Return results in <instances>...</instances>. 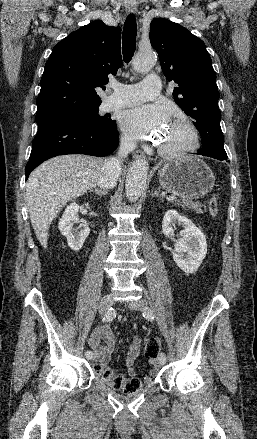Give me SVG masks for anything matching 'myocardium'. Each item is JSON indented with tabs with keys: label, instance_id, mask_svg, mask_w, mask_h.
Segmentation results:
<instances>
[{
	"label": "myocardium",
	"instance_id": "myocardium-1",
	"mask_svg": "<svg viewBox=\"0 0 257 439\" xmlns=\"http://www.w3.org/2000/svg\"><path fill=\"white\" fill-rule=\"evenodd\" d=\"M171 124L182 126L188 130L190 134V144L176 149H169L163 146H159L158 152L161 156L165 158H180L196 151L199 148L200 136L197 128L194 126L193 123L186 119H175L171 122Z\"/></svg>",
	"mask_w": 257,
	"mask_h": 439
}]
</instances>
